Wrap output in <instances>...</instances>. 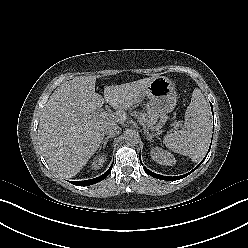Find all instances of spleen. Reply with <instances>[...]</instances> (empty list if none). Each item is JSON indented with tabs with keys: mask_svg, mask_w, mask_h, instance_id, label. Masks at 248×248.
I'll use <instances>...</instances> for the list:
<instances>
[{
	"mask_svg": "<svg viewBox=\"0 0 248 248\" xmlns=\"http://www.w3.org/2000/svg\"><path fill=\"white\" fill-rule=\"evenodd\" d=\"M211 128L209 106L201 90L195 89L185 112L182 129L167 134L163 143L172 151L189 156L193 162H198L208 149Z\"/></svg>",
	"mask_w": 248,
	"mask_h": 248,
	"instance_id": "3e777b00",
	"label": "spleen"
}]
</instances>
